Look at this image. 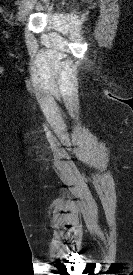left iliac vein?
<instances>
[{"label":"left iliac vein","mask_w":133,"mask_h":275,"mask_svg":"<svg viewBox=\"0 0 133 275\" xmlns=\"http://www.w3.org/2000/svg\"><path fill=\"white\" fill-rule=\"evenodd\" d=\"M37 0H28L27 3L20 9L18 12V20L19 22H24L27 15L30 13L32 8L34 7Z\"/></svg>","instance_id":"4c4485c4"}]
</instances>
